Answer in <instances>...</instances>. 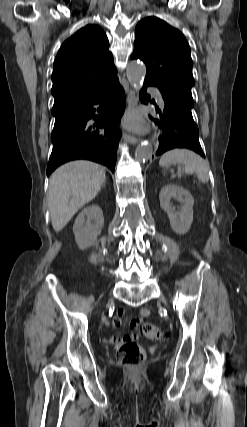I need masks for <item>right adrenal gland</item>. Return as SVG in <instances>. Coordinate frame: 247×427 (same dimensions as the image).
Segmentation results:
<instances>
[{
	"instance_id": "2a0ac1e0",
	"label": "right adrenal gland",
	"mask_w": 247,
	"mask_h": 427,
	"mask_svg": "<svg viewBox=\"0 0 247 427\" xmlns=\"http://www.w3.org/2000/svg\"><path fill=\"white\" fill-rule=\"evenodd\" d=\"M105 186H106V182H104V184L102 185V188H105Z\"/></svg>"
}]
</instances>
